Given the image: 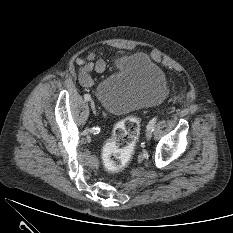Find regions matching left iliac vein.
Masks as SVG:
<instances>
[{
  "label": "left iliac vein",
  "instance_id": "4c4485c4",
  "mask_svg": "<svg viewBox=\"0 0 233 233\" xmlns=\"http://www.w3.org/2000/svg\"><path fill=\"white\" fill-rule=\"evenodd\" d=\"M152 138V130L147 129L146 139L150 140Z\"/></svg>",
  "mask_w": 233,
  "mask_h": 233
}]
</instances>
